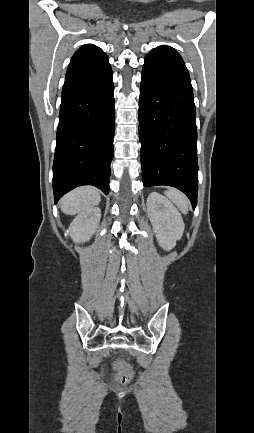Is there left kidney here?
<instances>
[{
	"label": "left kidney",
	"mask_w": 254,
	"mask_h": 433,
	"mask_svg": "<svg viewBox=\"0 0 254 433\" xmlns=\"http://www.w3.org/2000/svg\"><path fill=\"white\" fill-rule=\"evenodd\" d=\"M147 211L159 245L166 251L173 249L184 231L179 211L157 192H152L148 196Z\"/></svg>",
	"instance_id": "1"
}]
</instances>
